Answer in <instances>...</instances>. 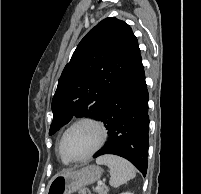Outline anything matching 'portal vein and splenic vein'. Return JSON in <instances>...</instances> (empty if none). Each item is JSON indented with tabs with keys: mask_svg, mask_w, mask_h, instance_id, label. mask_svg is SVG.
<instances>
[{
	"mask_svg": "<svg viewBox=\"0 0 201 194\" xmlns=\"http://www.w3.org/2000/svg\"><path fill=\"white\" fill-rule=\"evenodd\" d=\"M103 185V182L102 181H99L98 182V187H101Z\"/></svg>",
	"mask_w": 201,
	"mask_h": 194,
	"instance_id": "1",
	"label": "portal vein and splenic vein"
}]
</instances>
